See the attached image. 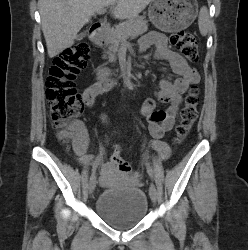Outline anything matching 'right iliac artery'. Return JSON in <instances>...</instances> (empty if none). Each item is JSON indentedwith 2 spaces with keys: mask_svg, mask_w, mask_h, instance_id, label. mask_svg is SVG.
Returning a JSON list of instances; mask_svg holds the SVG:
<instances>
[{
  "mask_svg": "<svg viewBox=\"0 0 248 250\" xmlns=\"http://www.w3.org/2000/svg\"><path fill=\"white\" fill-rule=\"evenodd\" d=\"M95 173H96V168H93V169L91 170V177H92V176H95Z\"/></svg>",
  "mask_w": 248,
  "mask_h": 250,
  "instance_id": "1",
  "label": "right iliac artery"
}]
</instances>
